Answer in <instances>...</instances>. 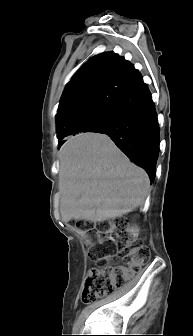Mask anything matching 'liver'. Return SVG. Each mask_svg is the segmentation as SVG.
<instances>
[{"label": "liver", "instance_id": "1", "mask_svg": "<svg viewBox=\"0 0 193 336\" xmlns=\"http://www.w3.org/2000/svg\"><path fill=\"white\" fill-rule=\"evenodd\" d=\"M59 158L62 221L103 222L142 206L150 180L105 134L83 133L62 145Z\"/></svg>", "mask_w": 193, "mask_h": 336}]
</instances>
